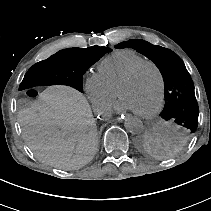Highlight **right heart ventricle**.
Returning <instances> with one entry per match:
<instances>
[{
  "mask_svg": "<svg viewBox=\"0 0 211 211\" xmlns=\"http://www.w3.org/2000/svg\"><path fill=\"white\" fill-rule=\"evenodd\" d=\"M145 58L132 51H124L109 56L99 62L97 74L115 92L118 81L135 65Z\"/></svg>",
  "mask_w": 211,
  "mask_h": 211,
  "instance_id": "right-heart-ventricle-1",
  "label": "right heart ventricle"
}]
</instances>
